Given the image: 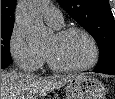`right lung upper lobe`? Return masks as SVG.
<instances>
[{
  "label": "right lung upper lobe",
  "instance_id": "obj_1",
  "mask_svg": "<svg viewBox=\"0 0 115 99\" xmlns=\"http://www.w3.org/2000/svg\"><path fill=\"white\" fill-rule=\"evenodd\" d=\"M16 0H1V26L14 25Z\"/></svg>",
  "mask_w": 115,
  "mask_h": 99
}]
</instances>
